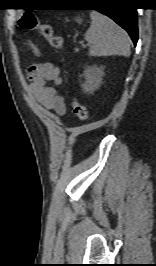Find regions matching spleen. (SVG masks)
Here are the masks:
<instances>
[{"instance_id": "obj_1", "label": "spleen", "mask_w": 156, "mask_h": 266, "mask_svg": "<svg viewBox=\"0 0 156 266\" xmlns=\"http://www.w3.org/2000/svg\"><path fill=\"white\" fill-rule=\"evenodd\" d=\"M91 26L85 33V40L90 44L89 55L93 57L130 55V38L126 31L107 16L92 11Z\"/></svg>"}]
</instances>
